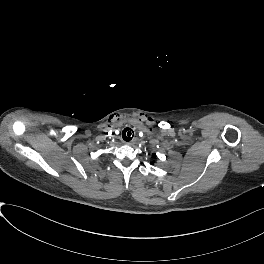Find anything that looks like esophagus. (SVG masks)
Segmentation results:
<instances>
[{"mask_svg": "<svg viewBox=\"0 0 264 264\" xmlns=\"http://www.w3.org/2000/svg\"><path fill=\"white\" fill-rule=\"evenodd\" d=\"M125 144H127V145H131V144H132V142H125Z\"/></svg>", "mask_w": 264, "mask_h": 264, "instance_id": "1", "label": "esophagus"}]
</instances>
